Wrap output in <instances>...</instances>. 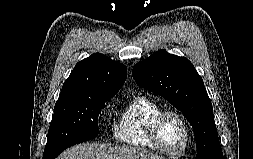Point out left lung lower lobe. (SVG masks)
<instances>
[{"label":"left lung lower lobe","mask_w":253,"mask_h":159,"mask_svg":"<svg viewBox=\"0 0 253 159\" xmlns=\"http://www.w3.org/2000/svg\"><path fill=\"white\" fill-rule=\"evenodd\" d=\"M219 159H225V157L222 155Z\"/></svg>","instance_id":"0a47b994"}]
</instances>
